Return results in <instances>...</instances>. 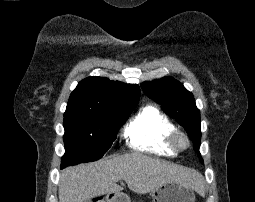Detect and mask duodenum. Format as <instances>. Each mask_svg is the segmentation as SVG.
<instances>
[{
  "instance_id": "410a0bca",
  "label": "duodenum",
  "mask_w": 255,
  "mask_h": 202,
  "mask_svg": "<svg viewBox=\"0 0 255 202\" xmlns=\"http://www.w3.org/2000/svg\"><path fill=\"white\" fill-rule=\"evenodd\" d=\"M109 202H125V201L115 195H111L109 196Z\"/></svg>"
}]
</instances>
